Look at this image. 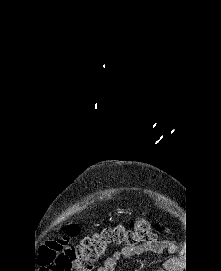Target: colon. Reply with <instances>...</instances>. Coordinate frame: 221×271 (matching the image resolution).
<instances>
[{"instance_id":"5ec220e1","label":"colon","mask_w":221,"mask_h":271,"mask_svg":"<svg viewBox=\"0 0 221 271\" xmlns=\"http://www.w3.org/2000/svg\"><path fill=\"white\" fill-rule=\"evenodd\" d=\"M160 226L146 218H138L132 228L121 224L103 226L78 244H69L68 237L79 234V227L70 225L67 236L50 238L40 247L36 262L40 271H92L112 246L137 247L155 241Z\"/></svg>"}]
</instances>
